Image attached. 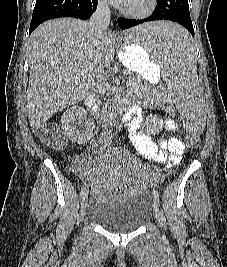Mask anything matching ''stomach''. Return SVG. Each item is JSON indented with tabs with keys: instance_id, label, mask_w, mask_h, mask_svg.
Returning <instances> with one entry per match:
<instances>
[{
	"instance_id": "stomach-1",
	"label": "stomach",
	"mask_w": 227,
	"mask_h": 267,
	"mask_svg": "<svg viewBox=\"0 0 227 267\" xmlns=\"http://www.w3.org/2000/svg\"><path fill=\"white\" fill-rule=\"evenodd\" d=\"M120 59L128 69L148 82H156L159 78L161 63H156V59H149L144 47H134L133 43H124Z\"/></svg>"
}]
</instances>
